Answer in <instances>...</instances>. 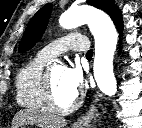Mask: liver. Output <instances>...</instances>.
Listing matches in <instances>:
<instances>
[{"label": "liver", "mask_w": 142, "mask_h": 128, "mask_svg": "<svg viewBox=\"0 0 142 128\" xmlns=\"http://www.w3.org/2000/svg\"><path fill=\"white\" fill-rule=\"evenodd\" d=\"M24 124L35 125L40 128H64L66 120L43 110L25 109L16 113L12 121V128H19Z\"/></svg>", "instance_id": "obj_1"}]
</instances>
